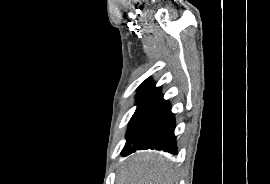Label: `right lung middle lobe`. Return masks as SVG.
Masks as SVG:
<instances>
[{
  "label": "right lung middle lobe",
  "instance_id": "right-lung-middle-lobe-1",
  "mask_svg": "<svg viewBox=\"0 0 270 184\" xmlns=\"http://www.w3.org/2000/svg\"><path fill=\"white\" fill-rule=\"evenodd\" d=\"M149 98H137V109L134 113V115L132 116L131 120H130V123H129V127H128V130H127V135L133 125V123L135 122V120L137 119V117L139 116L141 110L143 109V107L146 105V103L148 102ZM126 135V136H127Z\"/></svg>",
  "mask_w": 270,
  "mask_h": 184
}]
</instances>
